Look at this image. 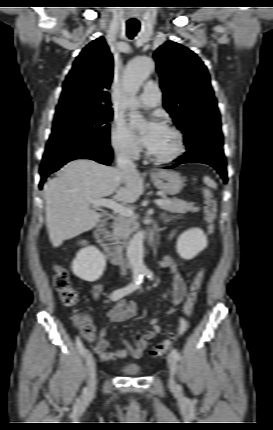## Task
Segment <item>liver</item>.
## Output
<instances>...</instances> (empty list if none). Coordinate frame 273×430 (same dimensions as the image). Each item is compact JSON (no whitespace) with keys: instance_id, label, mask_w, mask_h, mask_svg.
Masks as SVG:
<instances>
[{"instance_id":"6515ba94","label":"liver","mask_w":273,"mask_h":430,"mask_svg":"<svg viewBox=\"0 0 273 430\" xmlns=\"http://www.w3.org/2000/svg\"><path fill=\"white\" fill-rule=\"evenodd\" d=\"M143 192L144 180L137 170L122 171L90 159L68 162L45 187L50 241L59 247L97 225L101 216L90 208L89 200L115 193V201L133 203Z\"/></svg>"}]
</instances>
